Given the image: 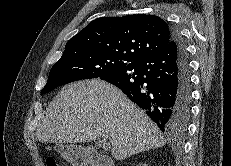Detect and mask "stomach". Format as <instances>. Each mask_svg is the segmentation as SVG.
<instances>
[{"label":"stomach","instance_id":"0dacf381","mask_svg":"<svg viewBox=\"0 0 231 166\" xmlns=\"http://www.w3.org/2000/svg\"><path fill=\"white\" fill-rule=\"evenodd\" d=\"M54 149L63 159L71 163H76L79 166H83L87 161V152L81 146L68 143H56Z\"/></svg>","mask_w":231,"mask_h":166}]
</instances>
